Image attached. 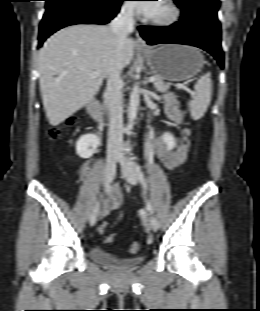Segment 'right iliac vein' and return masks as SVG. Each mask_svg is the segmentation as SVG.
<instances>
[{
  "label": "right iliac vein",
  "mask_w": 260,
  "mask_h": 311,
  "mask_svg": "<svg viewBox=\"0 0 260 311\" xmlns=\"http://www.w3.org/2000/svg\"><path fill=\"white\" fill-rule=\"evenodd\" d=\"M117 151H118V148L113 147V148H111V150L109 151L108 156H107V162H106V167H105V177H104V183L106 186H108L111 183V181L113 179V175L115 173L116 162L119 159ZM99 208H100L99 203H97L93 207V209L89 215L90 226H94L96 224L97 218L99 215Z\"/></svg>",
  "instance_id": "obj_1"
}]
</instances>
